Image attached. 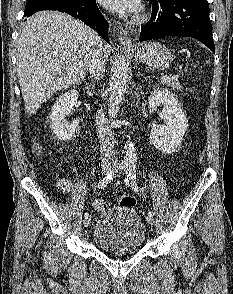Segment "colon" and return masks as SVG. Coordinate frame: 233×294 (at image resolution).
<instances>
[{
	"instance_id": "5ec220e1",
	"label": "colon",
	"mask_w": 233,
	"mask_h": 294,
	"mask_svg": "<svg viewBox=\"0 0 233 294\" xmlns=\"http://www.w3.org/2000/svg\"><path fill=\"white\" fill-rule=\"evenodd\" d=\"M119 204L123 207L132 208L135 206L136 201L132 196L125 195V196L121 197ZM95 207L97 209H104V208H106V205L105 204H96Z\"/></svg>"
}]
</instances>
